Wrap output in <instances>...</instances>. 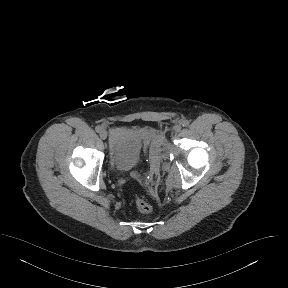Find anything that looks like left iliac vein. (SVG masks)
Masks as SVG:
<instances>
[{
  "mask_svg": "<svg viewBox=\"0 0 288 288\" xmlns=\"http://www.w3.org/2000/svg\"><path fill=\"white\" fill-rule=\"evenodd\" d=\"M181 124H176L174 127H173V130L174 132H179L181 130Z\"/></svg>",
  "mask_w": 288,
  "mask_h": 288,
  "instance_id": "left-iliac-vein-1",
  "label": "left iliac vein"
}]
</instances>
